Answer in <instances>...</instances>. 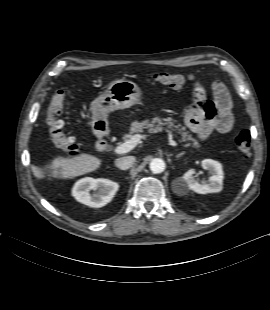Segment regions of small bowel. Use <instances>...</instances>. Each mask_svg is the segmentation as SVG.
<instances>
[{"label": "small bowel", "mask_w": 270, "mask_h": 310, "mask_svg": "<svg viewBox=\"0 0 270 310\" xmlns=\"http://www.w3.org/2000/svg\"><path fill=\"white\" fill-rule=\"evenodd\" d=\"M212 92L218 114H213L201 108L203 102L207 101L204 87L195 84L193 88L194 104L187 112L185 125L201 140L206 139L212 132H229L234 124L232 113V101L225 85L220 81L212 83Z\"/></svg>", "instance_id": "1"}]
</instances>
